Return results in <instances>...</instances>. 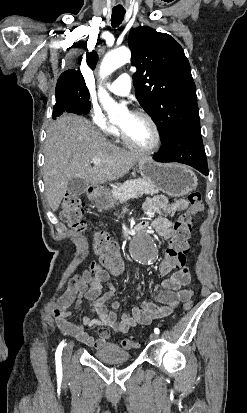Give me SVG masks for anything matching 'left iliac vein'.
I'll return each instance as SVG.
<instances>
[{
	"label": "left iliac vein",
	"mask_w": 247,
	"mask_h": 413,
	"mask_svg": "<svg viewBox=\"0 0 247 413\" xmlns=\"http://www.w3.org/2000/svg\"><path fill=\"white\" fill-rule=\"evenodd\" d=\"M149 339L151 341H153V340L157 339V335L155 333H151L150 336H149Z\"/></svg>",
	"instance_id": "left-iliac-vein-1"
}]
</instances>
